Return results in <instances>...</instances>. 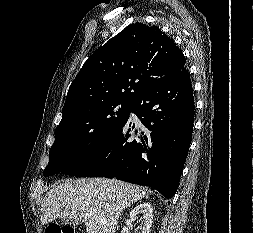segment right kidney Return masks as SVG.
<instances>
[{
	"label": "right kidney",
	"instance_id": "right-kidney-1",
	"mask_svg": "<svg viewBox=\"0 0 253 233\" xmlns=\"http://www.w3.org/2000/svg\"><path fill=\"white\" fill-rule=\"evenodd\" d=\"M152 211V207L149 203H140L131 210V219H134L140 215L142 217V225L138 226L137 233H150V228L153 220Z\"/></svg>",
	"mask_w": 253,
	"mask_h": 233
}]
</instances>
